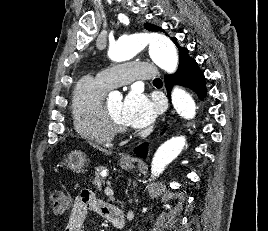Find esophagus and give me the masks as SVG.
Wrapping results in <instances>:
<instances>
[{"instance_id": "34e87169", "label": "esophagus", "mask_w": 268, "mask_h": 231, "mask_svg": "<svg viewBox=\"0 0 268 231\" xmlns=\"http://www.w3.org/2000/svg\"><path fill=\"white\" fill-rule=\"evenodd\" d=\"M123 160H127V161H130L132 160V158L129 156V155H125L122 157Z\"/></svg>"}]
</instances>
